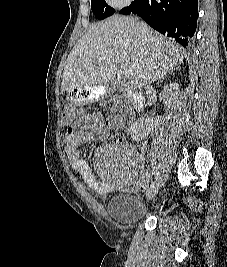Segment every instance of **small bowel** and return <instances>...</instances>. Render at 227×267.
Returning a JSON list of instances; mask_svg holds the SVG:
<instances>
[{
  "label": "small bowel",
  "mask_w": 227,
  "mask_h": 267,
  "mask_svg": "<svg viewBox=\"0 0 227 267\" xmlns=\"http://www.w3.org/2000/svg\"><path fill=\"white\" fill-rule=\"evenodd\" d=\"M111 124L101 118V115L96 113L92 115L89 121L83 126L72 125L68 128L64 138L65 152L69 163L74 171H76L81 180L88 186L89 189L96 193L105 194L109 191V178L104 181L98 179L92 172L86 159L81 155L79 147L91 141L94 137L98 140H106L110 134ZM122 142V140H120ZM135 174L140 183L137 188L143 189L144 185L142 179L144 178L143 172L139 169H128L118 176L121 180H131Z\"/></svg>",
  "instance_id": "c3829d8e"
}]
</instances>
